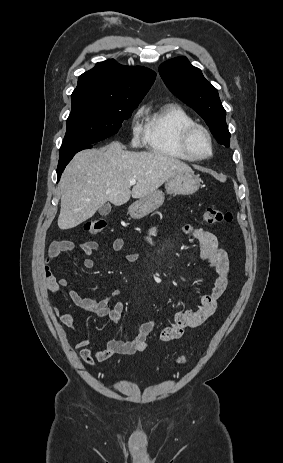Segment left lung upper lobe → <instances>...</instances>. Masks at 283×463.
Returning a JSON list of instances; mask_svg holds the SVG:
<instances>
[{
    "label": "left lung upper lobe",
    "mask_w": 283,
    "mask_h": 463,
    "mask_svg": "<svg viewBox=\"0 0 283 463\" xmlns=\"http://www.w3.org/2000/svg\"><path fill=\"white\" fill-rule=\"evenodd\" d=\"M159 73L169 90L205 120L218 143L229 147L226 111L217 89L204 78L201 70L192 66L186 57H178L161 64Z\"/></svg>",
    "instance_id": "obj_1"
}]
</instances>
